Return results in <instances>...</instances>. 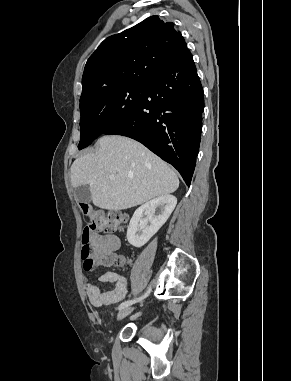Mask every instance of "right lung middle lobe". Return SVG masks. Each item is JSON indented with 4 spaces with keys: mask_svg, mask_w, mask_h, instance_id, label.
Masks as SVG:
<instances>
[{
    "mask_svg": "<svg viewBox=\"0 0 291 381\" xmlns=\"http://www.w3.org/2000/svg\"><path fill=\"white\" fill-rule=\"evenodd\" d=\"M146 83H131L100 91L80 103L79 149L90 145L98 136L117 126L136 111Z\"/></svg>",
    "mask_w": 291,
    "mask_h": 381,
    "instance_id": "dd1d6c3e",
    "label": "right lung middle lobe"
}]
</instances>
